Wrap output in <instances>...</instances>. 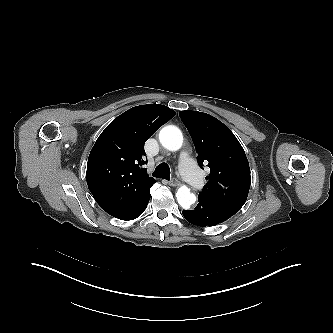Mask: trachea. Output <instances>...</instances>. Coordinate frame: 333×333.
Here are the masks:
<instances>
[{"label":"trachea","mask_w":333,"mask_h":333,"mask_svg":"<svg viewBox=\"0 0 333 333\" xmlns=\"http://www.w3.org/2000/svg\"><path fill=\"white\" fill-rule=\"evenodd\" d=\"M156 178L170 180V168L167 163H160L152 174Z\"/></svg>","instance_id":"trachea-1"}]
</instances>
